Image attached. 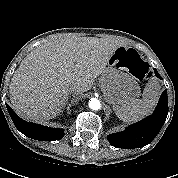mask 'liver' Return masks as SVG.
Segmentation results:
<instances>
[{
  "instance_id": "liver-1",
  "label": "liver",
  "mask_w": 178,
  "mask_h": 178,
  "mask_svg": "<svg viewBox=\"0 0 178 178\" xmlns=\"http://www.w3.org/2000/svg\"><path fill=\"white\" fill-rule=\"evenodd\" d=\"M122 43L95 37L49 39L34 48L15 71L9 86L15 112L32 120L60 114L74 87L88 91Z\"/></svg>"
}]
</instances>
